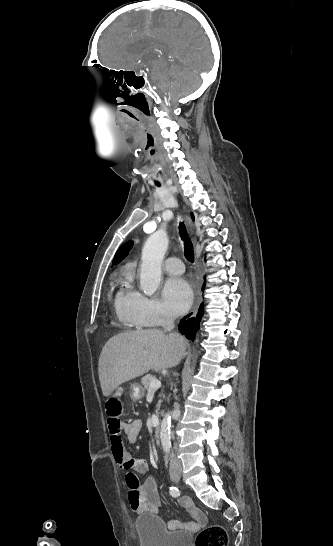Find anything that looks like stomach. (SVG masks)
<instances>
[{
	"label": "stomach",
	"instance_id": "1",
	"mask_svg": "<svg viewBox=\"0 0 333 546\" xmlns=\"http://www.w3.org/2000/svg\"><path fill=\"white\" fill-rule=\"evenodd\" d=\"M144 394L145 391L139 384H131L129 395L132 400H140Z\"/></svg>",
	"mask_w": 333,
	"mask_h": 546
}]
</instances>
